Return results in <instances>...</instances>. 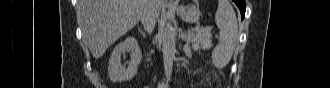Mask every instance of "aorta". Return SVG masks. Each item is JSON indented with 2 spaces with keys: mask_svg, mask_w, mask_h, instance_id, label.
<instances>
[{
  "mask_svg": "<svg viewBox=\"0 0 330 88\" xmlns=\"http://www.w3.org/2000/svg\"><path fill=\"white\" fill-rule=\"evenodd\" d=\"M176 31L171 22H167L162 31V51H163V63L164 72L167 81L170 80L172 75L173 62L175 60L176 53Z\"/></svg>",
  "mask_w": 330,
  "mask_h": 88,
  "instance_id": "762f6f07",
  "label": "aorta"
}]
</instances>
